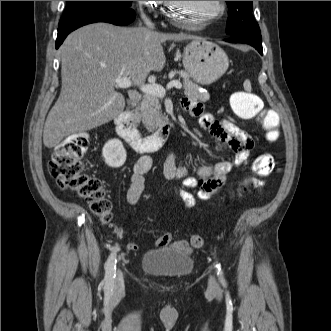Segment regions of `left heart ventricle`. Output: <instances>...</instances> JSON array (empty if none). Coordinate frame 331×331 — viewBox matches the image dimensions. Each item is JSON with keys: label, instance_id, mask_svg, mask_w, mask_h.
<instances>
[{"label": "left heart ventricle", "instance_id": "obj_1", "mask_svg": "<svg viewBox=\"0 0 331 331\" xmlns=\"http://www.w3.org/2000/svg\"><path fill=\"white\" fill-rule=\"evenodd\" d=\"M175 16L184 21L198 23L218 10V1H176Z\"/></svg>", "mask_w": 331, "mask_h": 331}]
</instances>
